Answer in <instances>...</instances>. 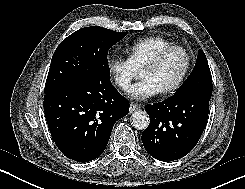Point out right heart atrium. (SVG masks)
I'll list each match as a JSON object with an SVG mask.
<instances>
[{
	"label": "right heart atrium",
	"instance_id": "right-heart-atrium-1",
	"mask_svg": "<svg viewBox=\"0 0 245 189\" xmlns=\"http://www.w3.org/2000/svg\"><path fill=\"white\" fill-rule=\"evenodd\" d=\"M107 70L112 82L122 90H127L137 74L127 58L117 57L107 60Z\"/></svg>",
	"mask_w": 245,
	"mask_h": 189
}]
</instances>
